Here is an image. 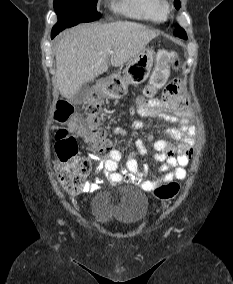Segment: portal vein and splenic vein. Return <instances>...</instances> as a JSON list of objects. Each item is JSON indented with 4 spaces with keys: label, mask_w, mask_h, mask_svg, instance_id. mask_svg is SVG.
Wrapping results in <instances>:
<instances>
[{
    "label": "portal vein and splenic vein",
    "mask_w": 233,
    "mask_h": 284,
    "mask_svg": "<svg viewBox=\"0 0 233 284\" xmlns=\"http://www.w3.org/2000/svg\"><path fill=\"white\" fill-rule=\"evenodd\" d=\"M107 52H108V53H112V50H111V49H107Z\"/></svg>",
    "instance_id": "obj_1"
}]
</instances>
